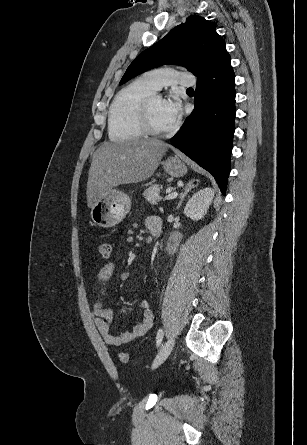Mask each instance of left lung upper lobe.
Wrapping results in <instances>:
<instances>
[{
  "label": "left lung upper lobe",
  "instance_id": "obj_1",
  "mask_svg": "<svg viewBox=\"0 0 307 445\" xmlns=\"http://www.w3.org/2000/svg\"><path fill=\"white\" fill-rule=\"evenodd\" d=\"M228 55L225 41L217 34L214 24L203 17L190 16L185 23L139 54L127 68L120 84L163 64L185 66L198 77Z\"/></svg>",
  "mask_w": 307,
  "mask_h": 445
}]
</instances>
